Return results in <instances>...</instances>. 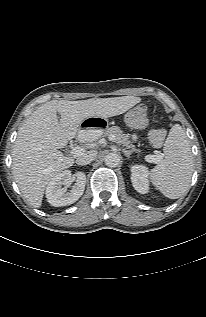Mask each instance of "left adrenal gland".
I'll use <instances>...</instances> for the list:
<instances>
[{
  "label": "left adrenal gland",
  "instance_id": "left-adrenal-gland-1",
  "mask_svg": "<svg viewBox=\"0 0 206 317\" xmlns=\"http://www.w3.org/2000/svg\"><path fill=\"white\" fill-rule=\"evenodd\" d=\"M122 151L124 152V154H125V156H126L127 158H130V155H131L132 152H133V151H127V150H125V149H123Z\"/></svg>",
  "mask_w": 206,
  "mask_h": 317
}]
</instances>
